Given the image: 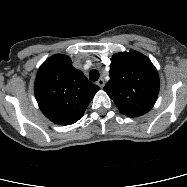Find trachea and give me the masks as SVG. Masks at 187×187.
<instances>
[{"mask_svg":"<svg viewBox=\"0 0 187 187\" xmlns=\"http://www.w3.org/2000/svg\"><path fill=\"white\" fill-rule=\"evenodd\" d=\"M99 72L96 69H93L89 73V79L91 81H97L99 79Z\"/></svg>","mask_w":187,"mask_h":187,"instance_id":"obj_1","label":"trachea"}]
</instances>
